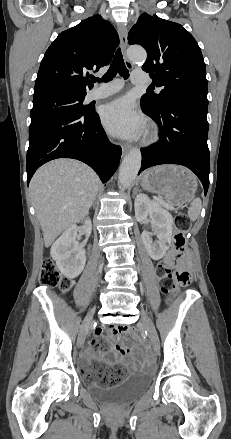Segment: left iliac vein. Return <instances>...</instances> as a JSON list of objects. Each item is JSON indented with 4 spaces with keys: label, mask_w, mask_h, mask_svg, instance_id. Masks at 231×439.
Listing matches in <instances>:
<instances>
[{
    "label": "left iliac vein",
    "mask_w": 231,
    "mask_h": 439,
    "mask_svg": "<svg viewBox=\"0 0 231 439\" xmlns=\"http://www.w3.org/2000/svg\"><path fill=\"white\" fill-rule=\"evenodd\" d=\"M140 325L147 331L148 337L150 339L153 351L155 354L159 351V337L158 333L156 331V328L151 321V319L147 316L144 310L141 311V319H140Z\"/></svg>",
    "instance_id": "1"
}]
</instances>
